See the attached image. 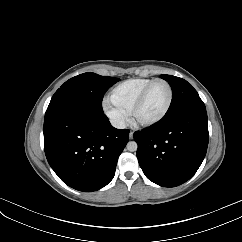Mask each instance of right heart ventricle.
Returning <instances> with one entry per match:
<instances>
[{
  "label": "right heart ventricle",
  "instance_id": "1",
  "mask_svg": "<svg viewBox=\"0 0 242 242\" xmlns=\"http://www.w3.org/2000/svg\"><path fill=\"white\" fill-rule=\"evenodd\" d=\"M153 80L154 79L142 77L125 80L111 90V101L127 113H130L140 93Z\"/></svg>",
  "mask_w": 242,
  "mask_h": 242
}]
</instances>
